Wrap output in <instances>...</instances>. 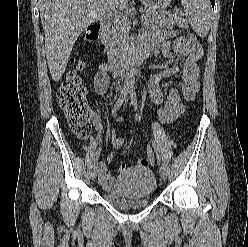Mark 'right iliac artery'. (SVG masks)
I'll return each mask as SVG.
<instances>
[{
  "label": "right iliac artery",
  "mask_w": 248,
  "mask_h": 247,
  "mask_svg": "<svg viewBox=\"0 0 248 247\" xmlns=\"http://www.w3.org/2000/svg\"><path fill=\"white\" fill-rule=\"evenodd\" d=\"M129 92V87L124 86L122 91H121V95L119 96L117 102L115 103V105L112 108V115L116 116L117 111L119 110V108L121 107V105L123 104L127 94ZM99 157V152L95 153V157L93 158V162L94 164L96 163V161L98 160Z\"/></svg>",
  "instance_id": "1"
}]
</instances>
